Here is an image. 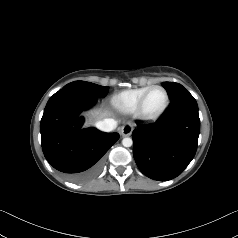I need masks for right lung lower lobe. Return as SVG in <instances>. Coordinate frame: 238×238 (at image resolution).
<instances>
[{"label": "right lung lower lobe", "instance_id": "obj_1", "mask_svg": "<svg viewBox=\"0 0 238 238\" xmlns=\"http://www.w3.org/2000/svg\"><path fill=\"white\" fill-rule=\"evenodd\" d=\"M98 98L75 87L63 88L48 101L41 119L42 150L47 161L73 182L93 178L102 156L119 139L118 133L82 129L80 113Z\"/></svg>", "mask_w": 238, "mask_h": 238}]
</instances>
